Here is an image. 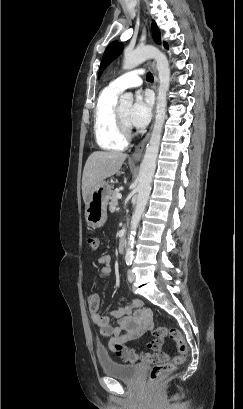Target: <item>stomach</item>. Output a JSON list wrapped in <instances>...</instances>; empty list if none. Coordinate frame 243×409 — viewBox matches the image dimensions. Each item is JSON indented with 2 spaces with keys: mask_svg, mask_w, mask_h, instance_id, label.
<instances>
[{
  "mask_svg": "<svg viewBox=\"0 0 243 409\" xmlns=\"http://www.w3.org/2000/svg\"><path fill=\"white\" fill-rule=\"evenodd\" d=\"M110 185L103 181L95 187L87 198L85 204V218L92 228L104 225L107 219V204L111 198Z\"/></svg>",
  "mask_w": 243,
  "mask_h": 409,
  "instance_id": "0dacf381",
  "label": "stomach"
}]
</instances>
